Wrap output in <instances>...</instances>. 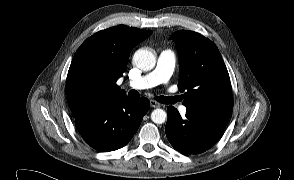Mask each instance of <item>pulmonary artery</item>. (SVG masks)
<instances>
[{
    "label": "pulmonary artery",
    "mask_w": 294,
    "mask_h": 180,
    "mask_svg": "<svg viewBox=\"0 0 294 180\" xmlns=\"http://www.w3.org/2000/svg\"><path fill=\"white\" fill-rule=\"evenodd\" d=\"M174 70V53L171 50H164L160 53L156 68L129 83L134 89H147L159 84L167 83ZM186 107L180 106L179 112L186 113Z\"/></svg>",
    "instance_id": "pulmonary-artery-1"
}]
</instances>
